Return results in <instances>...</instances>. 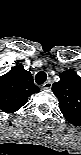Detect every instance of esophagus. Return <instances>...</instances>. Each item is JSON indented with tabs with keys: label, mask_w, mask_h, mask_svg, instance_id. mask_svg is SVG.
Instances as JSON below:
<instances>
[{
	"label": "esophagus",
	"mask_w": 81,
	"mask_h": 155,
	"mask_svg": "<svg viewBox=\"0 0 81 155\" xmlns=\"http://www.w3.org/2000/svg\"><path fill=\"white\" fill-rule=\"evenodd\" d=\"M52 87V82L49 80V81H46L43 85H41V89L43 90H49L51 89Z\"/></svg>",
	"instance_id": "obj_1"
}]
</instances>
